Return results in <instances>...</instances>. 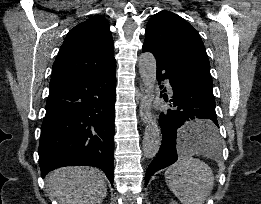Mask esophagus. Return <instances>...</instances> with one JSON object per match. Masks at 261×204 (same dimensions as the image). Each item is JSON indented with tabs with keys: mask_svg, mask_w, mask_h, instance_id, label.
<instances>
[{
	"mask_svg": "<svg viewBox=\"0 0 261 204\" xmlns=\"http://www.w3.org/2000/svg\"><path fill=\"white\" fill-rule=\"evenodd\" d=\"M149 102H150L149 97L146 94L145 89L142 87L141 94L139 97V114L143 124H146L149 120V112H148Z\"/></svg>",
	"mask_w": 261,
	"mask_h": 204,
	"instance_id": "1",
	"label": "esophagus"
}]
</instances>
